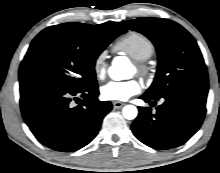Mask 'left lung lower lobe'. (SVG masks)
<instances>
[{"label":"left lung lower lobe","instance_id":"1","mask_svg":"<svg viewBox=\"0 0 220 173\" xmlns=\"http://www.w3.org/2000/svg\"><path fill=\"white\" fill-rule=\"evenodd\" d=\"M140 98L151 106L160 99L146 94ZM161 98L164 103L156 113L150 107H139L131 130L147 146L167 150L184 144L198 131L206 113L207 94L179 91Z\"/></svg>","mask_w":220,"mask_h":173}]
</instances>
